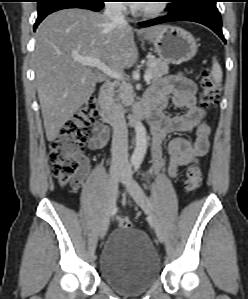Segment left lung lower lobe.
I'll list each match as a JSON object with an SVG mask.
<instances>
[{
    "label": "left lung lower lobe",
    "mask_w": 248,
    "mask_h": 299,
    "mask_svg": "<svg viewBox=\"0 0 248 299\" xmlns=\"http://www.w3.org/2000/svg\"><path fill=\"white\" fill-rule=\"evenodd\" d=\"M218 0H172L169 13L161 18L140 23L141 27H149L170 21H192L201 23L212 29L225 43L222 34L221 15L216 7Z\"/></svg>",
    "instance_id": "obj_1"
}]
</instances>
